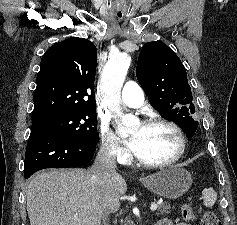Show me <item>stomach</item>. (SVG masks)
<instances>
[{
  "instance_id": "obj_1",
  "label": "stomach",
  "mask_w": 237,
  "mask_h": 225,
  "mask_svg": "<svg viewBox=\"0 0 237 225\" xmlns=\"http://www.w3.org/2000/svg\"><path fill=\"white\" fill-rule=\"evenodd\" d=\"M192 175L180 166H170L140 182L150 191L168 199H176L185 194L192 185Z\"/></svg>"
}]
</instances>
